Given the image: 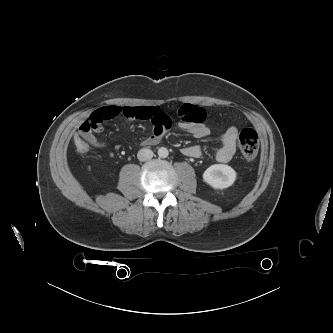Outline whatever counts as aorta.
I'll list each match as a JSON object with an SVG mask.
<instances>
[{"mask_svg":"<svg viewBox=\"0 0 333 333\" xmlns=\"http://www.w3.org/2000/svg\"><path fill=\"white\" fill-rule=\"evenodd\" d=\"M168 155H169V152H168L167 148L161 147L158 149V156L160 158H166V157H168Z\"/></svg>","mask_w":333,"mask_h":333,"instance_id":"aorta-1","label":"aorta"}]
</instances>
